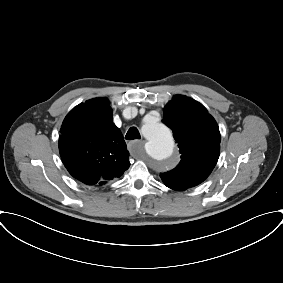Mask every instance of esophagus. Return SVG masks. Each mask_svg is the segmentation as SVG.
<instances>
[{
	"label": "esophagus",
	"instance_id": "1",
	"mask_svg": "<svg viewBox=\"0 0 283 283\" xmlns=\"http://www.w3.org/2000/svg\"><path fill=\"white\" fill-rule=\"evenodd\" d=\"M144 141H131L128 143V150L130 152H139L142 148Z\"/></svg>",
	"mask_w": 283,
	"mask_h": 283
}]
</instances>
